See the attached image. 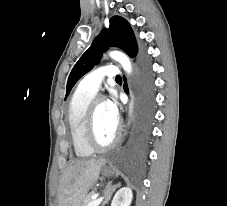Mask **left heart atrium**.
I'll use <instances>...</instances> for the list:
<instances>
[{"instance_id":"left-heart-atrium-1","label":"left heart atrium","mask_w":227,"mask_h":206,"mask_svg":"<svg viewBox=\"0 0 227 206\" xmlns=\"http://www.w3.org/2000/svg\"><path fill=\"white\" fill-rule=\"evenodd\" d=\"M105 105L109 118L115 125H117L119 120V108L116 101L114 99H109L105 102Z\"/></svg>"}]
</instances>
